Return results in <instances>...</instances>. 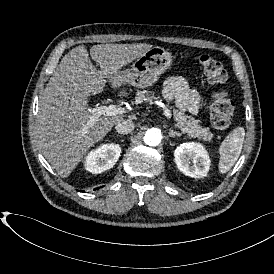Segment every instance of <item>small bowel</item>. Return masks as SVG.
<instances>
[{"mask_svg":"<svg viewBox=\"0 0 274 274\" xmlns=\"http://www.w3.org/2000/svg\"><path fill=\"white\" fill-rule=\"evenodd\" d=\"M164 96L175 102L177 107L191 114H196L200 108V94L190 88L187 82L179 76L168 78L163 86Z\"/></svg>","mask_w":274,"mask_h":274,"instance_id":"c3829d8e","label":"small bowel"}]
</instances>
